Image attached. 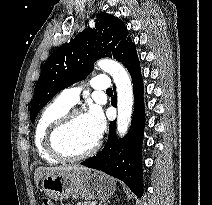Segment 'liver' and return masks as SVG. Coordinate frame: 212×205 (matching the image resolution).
<instances>
[{"label":"liver","mask_w":212,"mask_h":205,"mask_svg":"<svg viewBox=\"0 0 212 205\" xmlns=\"http://www.w3.org/2000/svg\"><path fill=\"white\" fill-rule=\"evenodd\" d=\"M65 171L88 172V171H90V169L87 167L78 166V165L59 166V167H39L36 169L35 174H34L35 184H36V186H38L39 180L45 175L57 174L60 172H65Z\"/></svg>","instance_id":"1"}]
</instances>
